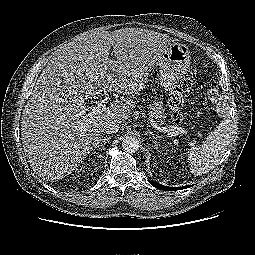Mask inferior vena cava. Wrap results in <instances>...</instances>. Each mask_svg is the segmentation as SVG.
Returning <instances> with one entry per match:
<instances>
[{"mask_svg":"<svg viewBox=\"0 0 255 255\" xmlns=\"http://www.w3.org/2000/svg\"><path fill=\"white\" fill-rule=\"evenodd\" d=\"M119 130V124L116 121H108L106 122V124L104 125V131L107 134H114L117 133Z\"/></svg>","mask_w":255,"mask_h":255,"instance_id":"602c4592","label":"inferior vena cava"}]
</instances>
